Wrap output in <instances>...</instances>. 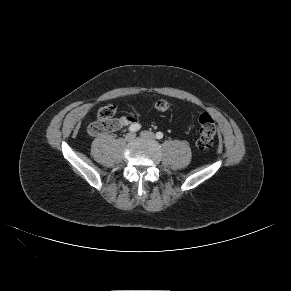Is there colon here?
<instances>
[{"label": "colon", "instance_id": "colon-1", "mask_svg": "<svg viewBox=\"0 0 291 291\" xmlns=\"http://www.w3.org/2000/svg\"><path fill=\"white\" fill-rule=\"evenodd\" d=\"M170 107L166 100H159L155 103V110L158 113L166 112ZM115 114V107L111 104L102 106L97 113V120L91 123L88 127L90 135H102L113 129V116ZM199 124V137L197 146L201 150L210 149L214 144L216 135V125L210 114L200 112L197 116Z\"/></svg>", "mask_w": 291, "mask_h": 291}]
</instances>
